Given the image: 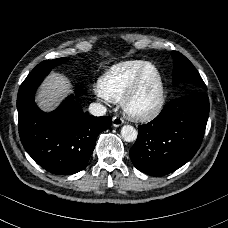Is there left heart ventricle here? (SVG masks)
Instances as JSON below:
<instances>
[{"label":"left heart ventricle","mask_w":228,"mask_h":228,"mask_svg":"<svg viewBox=\"0 0 228 228\" xmlns=\"http://www.w3.org/2000/svg\"><path fill=\"white\" fill-rule=\"evenodd\" d=\"M159 96V79L154 70H149L139 96L136 100V104L142 108L153 107Z\"/></svg>","instance_id":"1"}]
</instances>
